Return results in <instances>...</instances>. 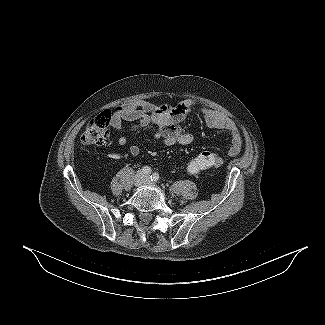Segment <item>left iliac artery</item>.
Wrapping results in <instances>:
<instances>
[{
    "label": "left iliac artery",
    "mask_w": 325,
    "mask_h": 325,
    "mask_svg": "<svg viewBox=\"0 0 325 325\" xmlns=\"http://www.w3.org/2000/svg\"><path fill=\"white\" fill-rule=\"evenodd\" d=\"M158 180H159V174L158 173H153L151 175V181L158 182Z\"/></svg>",
    "instance_id": "44dca946"
}]
</instances>
